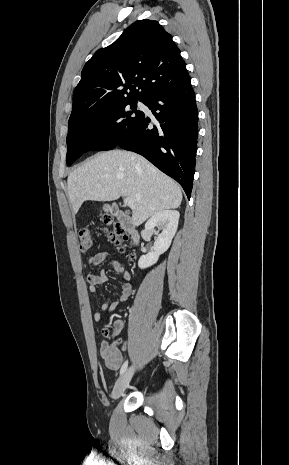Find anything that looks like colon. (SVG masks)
<instances>
[{"instance_id":"obj_1","label":"colon","mask_w":289,"mask_h":465,"mask_svg":"<svg viewBox=\"0 0 289 465\" xmlns=\"http://www.w3.org/2000/svg\"><path fill=\"white\" fill-rule=\"evenodd\" d=\"M103 221L106 225H112V229L108 232L110 240L115 243L120 248V250H125L130 243L124 229L118 224H113L112 218L109 215L104 216ZM78 236L80 241V248L82 251H89L95 248L96 241L92 231L89 228H81L78 232ZM110 333L111 331L109 328L104 329V334L106 336L110 335ZM113 348L117 350L116 347L113 346Z\"/></svg>"}]
</instances>
